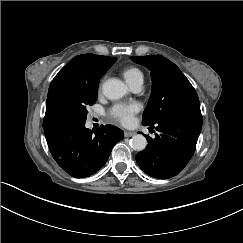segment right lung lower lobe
I'll return each instance as SVG.
<instances>
[{"label": "right lung lower lobe", "mask_w": 243, "mask_h": 243, "mask_svg": "<svg viewBox=\"0 0 243 243\" xmlns=\"http://www.w3.org/2000/svg\"><path fill=\"white\" fill-rule=\"evenodd\" d=\"M49 150L59 166L75 178L93 175L106 163L123 131L106 125L97 132L85 128V121H72L44 128Z\"/></svg>", "instance_id": "obj_1"}]
</instances>
